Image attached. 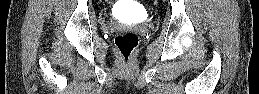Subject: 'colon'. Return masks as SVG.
Instances as JSON below:
<instances>
[{"label": "colon", "instance_id": "5ec220e1", "mask_svg": "<svg viewBox=\"0 0 259 94\" xmlns=\"http://www.w3.org/2000/svg\"><path fill=\"white\" fill-rule=\"evenodd\" d=\"M117 49L121 55L122 62L129 66L132 59V53L138 44V36L133 31L120 33L115 38Z\"/></svg>", "mask_w": 259, "mask_h": 94}]
</instances>
